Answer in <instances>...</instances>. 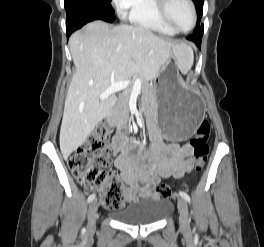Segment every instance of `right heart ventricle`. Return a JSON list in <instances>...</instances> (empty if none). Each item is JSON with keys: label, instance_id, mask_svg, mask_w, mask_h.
<instances>
[{"label": "right heart ventricle", "instance_id": "1", "mask_svg": "<svg viewBox=\"0 0 264 247\" xmlns=\"http://www.w3.org/2000/svg\"><path fill=\"white\" fill-rule=\"evenodd\" d=\"M129 19L140 27L161 34L173 35L175 33L160 17L156 7V0H136L134 7L129 13Z\"/></svg>", "mask_w": 264, "mask_h": 247}]
</instances>
